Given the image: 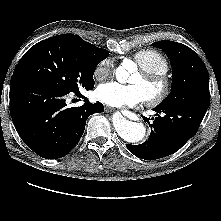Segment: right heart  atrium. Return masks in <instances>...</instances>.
<instances>
[{"label":"right heart atrium","mask_w":221,"mask_h":221,"mask_svg":"<svg viewBox=\"0 0 221 221\" xmlns=\"http://www.w3.org/2000/svg\"><path fill=\"white\" fill-rule=\"evenodd\" d=\"M114 71V63L112 59L106 58L101 60L94 70V77L97 80H104L110 77Z\"/></svg>","instance_id":"d8ad5b80"}]
</instances>
